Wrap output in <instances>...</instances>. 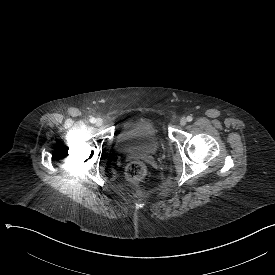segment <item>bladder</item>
I'll list each match as a JSON object with an SVG mask.
<instances>
[{
    "label": "bladder",
    "instance_id": "31cf9c89",
    "mask_svg": "<svg viewBox=\"0 0 275 275\" xmlns=\"http://www.w3.org/2000/svg\"><path fill=\"white\" fill-rule=\"evenodd\" d=\"M116 140L121 152H130L140 157H154L162 144L154 120L147 116H139L124 123L117 131Z\"/></svg>",
    "mask_w": 275,
    "mask_h": 275
}]
</instances>
